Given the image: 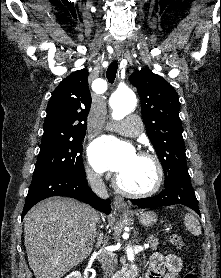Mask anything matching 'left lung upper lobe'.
<instances>
[{"label":"left lung upper lobe","instance_id":"5c2ea615","mask_svg":"<svg viewBox=\"0 0 221 278\" xmlns=\"http://www.w3.org/2000/svg\"><path fill=\"white\" fill-rule=\"evenodd\" d=\"M130 82L141 98L146 132L163 166L166 183L175 175L188 172L178 115V94L167 81L149 69L131 74Z\"/></svg>","mask_w":221,"mask_h":278}]
</instances>
